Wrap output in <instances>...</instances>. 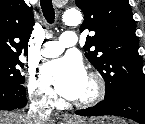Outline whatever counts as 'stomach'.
Masks as SVG:
<instances>
[{"instance_id":"stomach-1","label":"stomach","mask_w":145,"mask_h":124,"mask_svg":"<svg viewBox=\"0 0 145 124\" xmlns=\"http://www.w3.org/2000/svg\"><path fill=\"white\" fill-rule=\"evenodd\" d=\"M119 119L113 117H102L97 119H79L71 121L69 124H121Z\"/></svg>"}]
</instances>
